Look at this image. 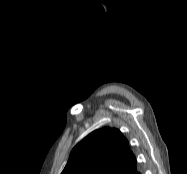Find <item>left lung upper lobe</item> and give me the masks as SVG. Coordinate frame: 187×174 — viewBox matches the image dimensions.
<instances>
[{
  "instance_id": "5c2ea615",
  "label": "left lung upper lobe",
  "mask_w": 187,
  "mask_h": 174,
  "mask_svg": "<svg viewBox=\"0 0 187 174\" xmlns=\"http://www.w3.org/2000/svg\"><path fill=\"white\" fill-rule=\"evenodd\" d=\"M127 139L115 128L95 130L71 151L61 174H137Z\"/></svg>"
}]
</instances>
